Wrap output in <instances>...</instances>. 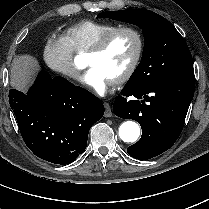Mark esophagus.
<instances>
[{"mask_svg":"<svg viewBox=\"0 0 209 209\" xmlns=\"http://www.w3.org/2000/svg\"><path fill=\"white\" fill-rule=\"evenodd\" d=\"M104 107H105V113H104V116L105 117H111L113 114H112V110H111V107H110V105L107 103V102H105L104 103Z\"/></svg>","mask_w":209,"mask_h":209,"instance_id":"obj_1","label":"esophagus"}]
</instances>
